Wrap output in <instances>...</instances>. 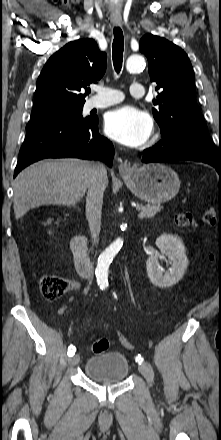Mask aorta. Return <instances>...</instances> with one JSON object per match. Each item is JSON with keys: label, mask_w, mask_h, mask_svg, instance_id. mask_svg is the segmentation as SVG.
<instances>
[{"label": "aorta", "mask_w": 221, "mask_h": 440, "mask_svg": "<svg viewBox=\"0 0 221 440\" xmlns=\"http://www.w3.org/2000/svg\"><path fill=\"white\" fill-rule=\"evenodd\" d=\"M145 67V60L140 55H132L127 59L126 68L130 73H136ZM123 241L117 238L106 250L99 256L96 267V278L101 288L108 286V269L114 256L121 248Z\"/></svg>", "instance_id": "aorta-1"}]
</instances>
